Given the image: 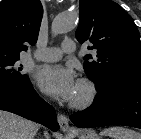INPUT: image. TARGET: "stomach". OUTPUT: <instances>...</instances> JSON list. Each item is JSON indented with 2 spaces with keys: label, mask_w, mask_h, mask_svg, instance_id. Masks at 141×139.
<instances>
[{
  "label": "stomach",
  "mask_w": 141,
  "mask_h": 139,
  "mask_svg": "<svg viewBox=\"0 0 141 139\" xmlns=\"http://www.w3.org/2000/svg\"><path fill=\"white\" fill-rule=\"evenodd\" d=\"M78 139H100V137L93 130H85L81 132Z\"/></svg>",
  "instance_id": "obj_1"
}]
</instances>
